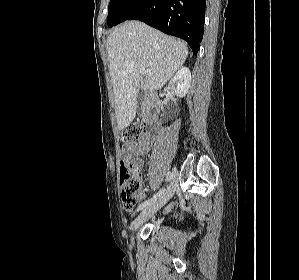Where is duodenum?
I'll return each mask as SVG.
<instances>
[{
	"label": "duodenum",
	"instance_id": "410a0bca",
	"mask_svg": "<svg viewBox=\"0 0 299 280\" xmlns=\"http://www.w3.org/2000/svg\"><path fill=\"white\" fill-rule=\"evenodd\" d=\"M158 99L155 95H147L143 104V127L148 133L157 129Z\"/></svg>",
	"mask_w": 299,
	"mask_h": 280
}]
</instances>
